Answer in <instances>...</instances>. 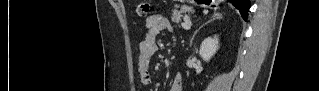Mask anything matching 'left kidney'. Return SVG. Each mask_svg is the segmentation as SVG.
<instances>
[{
  "mask_svg": "<svg viewBox=\"0 0 319 91\" xmlns=\"http://www.w3.org/2000/svg\"><path fill=\"white\" fill-rule=\"evenodd\" d=\"M218 44L219 39L217 35H215L213 38L208 37L203 40L200 46L199 54L204 61L208 62L212 58V56H214V54L219 49Z\"/></svg>",
  "mask_w": 319,
  "mask_h": 91,
  "instance_id": "left-kidney-1",
  "label": "left kidney"
}]
</instances>
